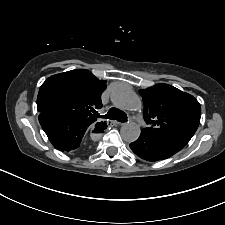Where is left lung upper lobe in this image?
<instances>
[{
    "label": "left lung upper lobe",
    "mask_w": 225,
    "mask_h": 225,
    "mask_svg": "<svg viewBox=\"0 0 225 225\" xmlns=\"http://www.w3.org/2000/svg\"><path fill=\"white\" fill-rule=\"evenodd\" d=\"M139 93L149 124L142 132L154 137L192 138L201 117L200 104L192 95L168 84L140 89Z\"/></svg>",
    "instance_id": "left-lung-upper-lobe-1"
}]
</instances>
